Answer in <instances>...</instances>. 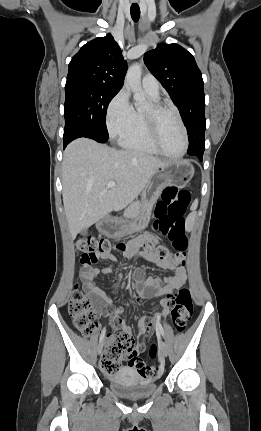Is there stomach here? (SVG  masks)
I'll return each mask as SVG.
<instances>
[{"mask_svg": "<svg viewBox=\"0 0 261 431\" xmlns=\"http://www.w3.org/2000/svg\"><path fill=\"white\" fill-rule=\"evenodd\" d=\"M194 175V168L188 161H170L156 170L142 192L138 217L132 220L107 219L98 224V230L106 236L118 237L145 229L150 221L151 210L163 189L168 186L184 187Z\"/></svg>", "mask_w": 261, "mask_h": 431, "instance_id": "stomach-1", "label": "stomach"}]
</instances>
